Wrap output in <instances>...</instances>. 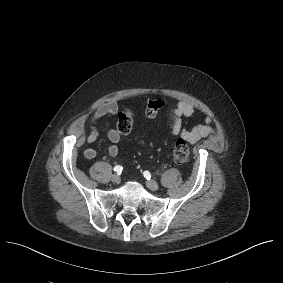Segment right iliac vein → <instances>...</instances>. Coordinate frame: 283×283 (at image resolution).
I'll return each mask as SVG.
<instances>
[{"label": "right iliac vein", "mask_w": 283, "mask_h": 283, "mask_svg": "<svg viewBox=\"0 0 283 283\" xmlns=\"http://www.w3.org/2000/svg\"><path fill=\"white\" fill-rule=\"evenodd\" d=\"M111 181L115 184H118L120 182V177L116 174L111 176Z\"/></svg>", "instance_id": "1"}]
</instances>
